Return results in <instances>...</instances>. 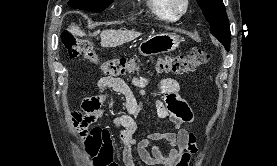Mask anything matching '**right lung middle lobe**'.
<instances>
[{
	"mask_svg": "<svg viewBox=\"0 0 277 166\" xmlns=\"http://www.w3.org/2000/svg\"><path fill=\"white\" fill-rule=\"evenodd\" d=\"M114 0H70L67 4L71 8L101 12L106 9Z\"/></svg>",
	"mask_w": 277,
	"mask_h": 166,
	"instance_id": "1",
	"label": "right lung middle lobe"
}]
</instances>
